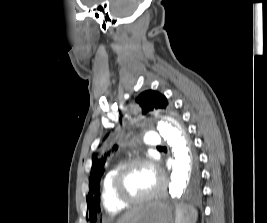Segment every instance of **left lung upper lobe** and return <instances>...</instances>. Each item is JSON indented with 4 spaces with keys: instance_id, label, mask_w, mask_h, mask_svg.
Instances as JSON below:
<instances>
[{
    "instance_id": "left-lung-upper-lobe-1",
    "label": "left lung upper lobe",
    "mask_w": 267,
    "mask_h": 223,
    "mask_svg": "<svg viewBox=\"0 0 267 223\" xmlns=\"http://www.w3.org/2000/svg\"><path fill=\"white\" fill-rule=\"evenodd\" d=\"M136 102L142 108L143 114L153 111L154 109H166L168 111L172 110V105L167 98L163 94L153 90H147L141 93L137 97ZM109 155L110 152L101 156L95 154L92 159V172L89 177L91 189L86 197L87 211L88 214L92 215V217L95 216V214H106V209H104L102 203H99V188L104 168L109 160ZM192 171H198L194 157Z\"/></svg>"
}]
</instances>
